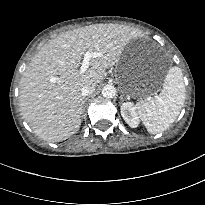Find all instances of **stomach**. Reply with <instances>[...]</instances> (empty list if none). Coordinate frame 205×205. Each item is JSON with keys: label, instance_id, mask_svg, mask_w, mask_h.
I'll return each instance as SVG.
<instances>
[{"label": "stomach", "instance_id": "0dacf381", "mask_svg": "<svg viewBox=\"0 0 205 205\" xmlns=\"http://www.w3.org/2000/svg\"><path fill=\"white\" fill-rule=\"evenodd\" d=\"M134 49H126L117 67L116 77L122 92L134 96L150 94L154 91V85L141 80L136 68V54Z\"/></svg>", "mask_w": 205, "mask_h": 205}]
</instances>
